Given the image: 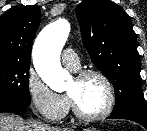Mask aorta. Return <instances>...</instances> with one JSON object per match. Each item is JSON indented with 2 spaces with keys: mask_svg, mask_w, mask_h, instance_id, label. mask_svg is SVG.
Returning <instances> with one entry per match:
<instances>
[{
  "mask_svg": "<svg viewBox=\"0 0 147 131\" xmlns=\"http://www.w3.org/2000/svg\"><path fill=\"white\" fill-rule=\"evenodd\" d=\"M69 32L68 21L59 19L40 32L33 46V63L38 75L57 92L63 91L70 80L69 72L60 63V53Z\"/></svg>",
  "mask_w": 147,
  "mask_h": 131,
  "instance_id": "1",
  "label": "aorta"
}]
</instances>
